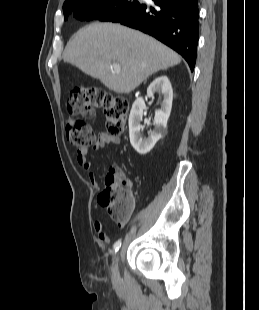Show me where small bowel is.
Wrapping results in <instances>:
<instances>
[{"label": "small bowel", "mask_w": 259, "mask_h": 310, "mask_svg": "<svg viewBox=\"0 0 259 310\" xmlns=\"http://www.w3.org/2000/svg\"><path fill=\"white\" fill-rule=\"evenodd\" d=\"M120 140L117 136L110 135L108 133H100L97 138V142L93 146L95 150L104 148L107 145H117ZM88 149L86 147L78 148L76 151V159L78 164L88 173L89 181L92 187L96 190H100V184L97 181V176L92 170V162L88 159ZM129 220V215L125 220L119 223L120 226H125ZM93 229L101 236L102 240L107 239V235L103 232V225L99 221H95Z\"/></svg>", "instance_id": "c3829d8e"}]
</instances>
